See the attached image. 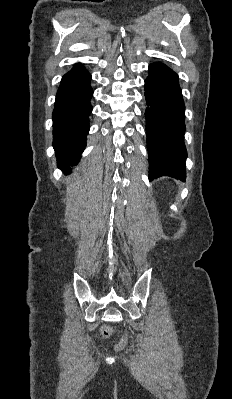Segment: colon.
<instances>
[{
    "instance_id": "5ec220e1",
    "label": "colon",
    "mask_w": 232,
    "mask_h": 399,
    "mask_svg": "<svg viewBox=\"0 0 232 399\" xmlns=\"http://www.w3.org/2000/svg\"><path fill=\"white\" fill-rule=\"evenodd\" d=\"M109 332L110 333H115L116 332V327L115 326H110L109 327ZM100 336L101 337H106L107 336V331L106 330H101L100 331Z\"/></svg>"
}]
</instances>
